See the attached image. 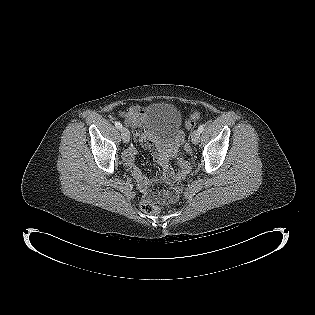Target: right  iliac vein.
Returning a JSON list of instances; mask_svg holds the SVG:
<instances>
[{"label":"right iliac vein","mask_w":315,"mask_h":315,"mask_svg":"<svg viewBox=\"0 0 315 315\" xmlns=\"http://www.w3.org/2000/svg\"><path fill=\"white\" fill-rule=\"evenodd\" d=\"M121 137L124 143H129L130 141V132L127 128H121Z\"/></svg>","instance_id":"63e3f726"}]
</instances>
